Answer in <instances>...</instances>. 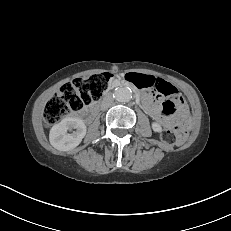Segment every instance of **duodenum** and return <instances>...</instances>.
<instances>
[{"instance_id":"1","label":"duodenum","mask_w":231,"mask_h":231,"mask_svg":"<svg viewBox=\"0 0 231 231\" xmlns=\"http://www.w3.org/2000/svg\"><path fill=\"white\" fill-rule=\"evenodd\" d=\"M141 96H142V94H141ZM142 99H143V96H142ZM143 100H144V99H143ZM97 110H98V106H95L93 109L90 110V113L95 112V111H97Z\"/></svg>"}]
</instances>
